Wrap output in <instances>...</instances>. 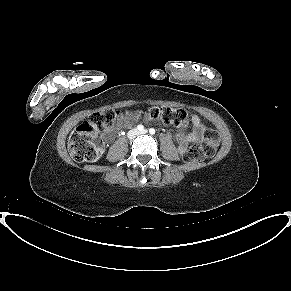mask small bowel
I'll list each match as a JSON object with an SVG mask.
<instances>
[{
    "instance_id": "obj_1",
    "label": "small bowel",
    "mask_w": 291,
    "mask_h": 291,
    "mask_svg": "<svg viewBox=\"0 0 291 291\" xmlns=\"http://www.w3.org/2000/svg\"><path fill=\"white\" fill-rule=\"evenodd\" d=\"M134 120H135V117L131 113L127 112L119 118L117 128L127 127L131 125ZM191 123H192V129L190 132L185 133L182 127L181 130L177 134L176 138L179 143L180 151L185 150L186 146L189 143L199 142L205 134V126L202 123L199 116H197L196 114H193L191 116ZM114 135H115V132L109 129L105 133V139L110 141L114 138Z\"/></svg>"
}]
</instances>
